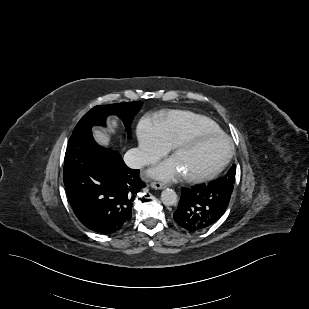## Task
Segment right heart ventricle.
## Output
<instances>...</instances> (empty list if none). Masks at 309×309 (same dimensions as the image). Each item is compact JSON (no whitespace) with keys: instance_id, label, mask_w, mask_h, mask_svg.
Returning <instances> with one entry per match:
<instances>
[{"instance_id":"e07e8e85","label":"right heart ventricle","mask_w":309,"mask_h":309,"mask_svg":"<svg viewBox=\"0 0 309 309\" xmlns=\"http://www.w3.org/2000/svg\"><path fill=\"white\" fill-rule=\"evenodd\" d=\"M157 125L171 145H175L179 140L194 131L221 132L218 124L210 118L186 110L171 111L162 115L158 119Z\"/></svg>"}]
</instances>
